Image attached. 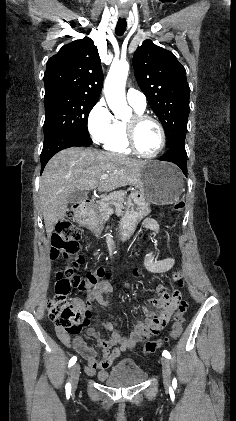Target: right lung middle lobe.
<instances>
[{"instance_id":"obj_1","label":"right lung middle lobe","mask_w":236,"mask_h":421,"mask_svg":"<svg viewBox=\"0 0 236 421\" xmlns=\"http://www.w3.org/2000/svg\"><path fill=\"white\" fill-rule=\"evenodd\" d=\"M97 100L64 91L45 92L44 141L56 134H70L92 142L87 119Z\"/></svg>"}]
</instances>
